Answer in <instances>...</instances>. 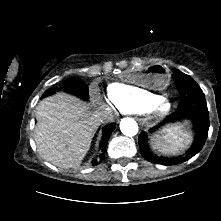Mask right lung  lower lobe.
<instances>
[{"mask_svg":"<svg viewBox=\"0 0 221 221\" xmlns=\"http://www.w3.org/2000/svg\"><path fill=\"white\" fill-rule=\"evenodd\" d=\"M115 128V124H108L107 126H105L104 130H103V136H102V141L100 143V147H101V151L102 153L100 154L99 158L98 159H95L93 161V164L94 165H97L100 163V160H103L104 159V153H105V150H106V146H107V142L109 140V137L112 133V131L114 130Z\"/></svg>","mask_w":221,"mask_h":221,"instance_id":"right-lung-lower-lobe-1","label":"right lung lower lobe"}]
</instances>
